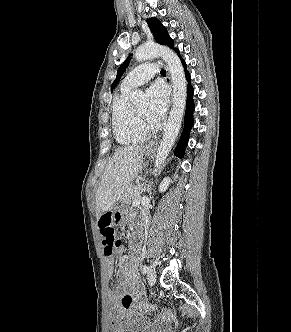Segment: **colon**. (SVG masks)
Masks as SVG:
<instances>
[{
    "instance_id": "1",
    "label": "colon",
    "mask_w": 291,
    "mask_h": 332,
    "mask_svg": "<svg viewBox=\"0 0 291 332\" xmlns=\"http://www.w3.org/2000/svg\"><path fill=\"white\" fill-rule=\"evenodd\" d=\"M99 228L102 238L104 253L107 257L113 256L115 249L119 246V240L113 224L111 214H104L99 220ZM169 312L170 311H166Z\"/></svg>"
}]
</instances>
